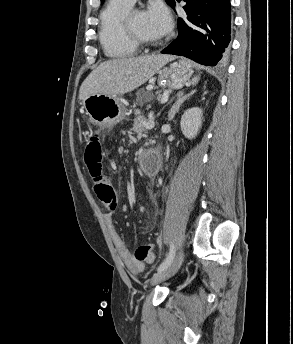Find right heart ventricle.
Masks as SVG:
<instances>
[{"label": "right heart ventricle", "instance_id": "e07e8e85", "mask_svg": "<svg viewBox=\"0 0 293 344\" xmlns=\"http://www.w3.org/2000/svg\"><path fill=\"white\" fill-rule=\"evenodd\" d=\"M133 5L109 0L99 16V40L106 56L110 58L132 57L138 46L126 38L123 19Z\"/></svg>", "mask_w": 293, "mask_h": 344}]
</instances>
